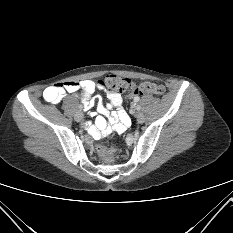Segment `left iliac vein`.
<instances>
[{
  "label": "left iliac vein",
  "mask_w": 233,
  "mask_h": 233,
  "mask_svg": "<svg viewBox=\"0 0 233 233\" xmlns=\"http://www.w3.org/2000/svg\"><path fill=\"white\" fill-rule=\"evenodd\" d=\"M136 119H137V122H138L139 124H142V123H144V121H145V116H144L143 113L138 112V113L136 114Z\"/></svg>",
  "instance_id": "obj_1"
}]
</instances>
